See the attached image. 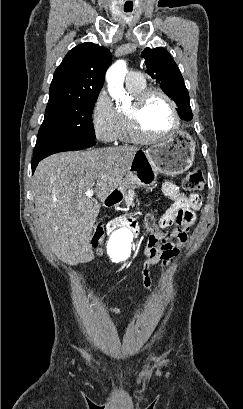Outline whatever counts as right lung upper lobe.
Here are the masks:
<instances>
[{
  "label": "right lung upper lobe",
  "mask_w": 243,
  "mask_h": 409,
  "mask_svg": "<svg viewBox=\"0 0 243 409\" xmlns=\"http://www.w3.org/2000/svg\"><path fill=\"white\" fill-rule=\"evenodd\" d=\"M110 64L107 48L91 42L76 46L56 69L48 102L97 99Z\"/></svg>",
  "instance_id": "1"
}]
</instances>
